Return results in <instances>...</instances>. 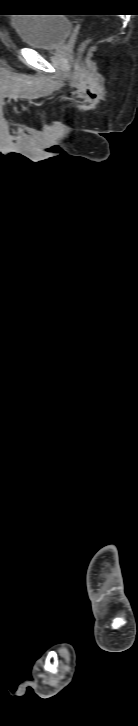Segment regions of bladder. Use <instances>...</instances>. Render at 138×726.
<instances>
[{
	"label": "bladder",
	"instance_id": "31cf9c89",
	"mask_svg": "<svg viewBox=\"0 0 138 726\" xmlns=\"http://www.w3.org/2000/svg\"><path fill=\"white\" fill-rule=\"evenodd\" d=\"M11 23L21 43L37 49L57 48L72 30L71 20L62 14H20Z\"/></svg>",
	"mask_w": 138,
	"mask_h": 726
}]
</instances>
